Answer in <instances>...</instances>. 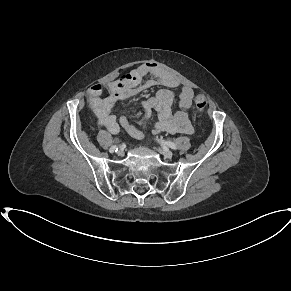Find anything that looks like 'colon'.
I'll use <instances>...</instances> for the list:
<instances>
[{"mask_svg":"<svg viewBox=\"0 0 291 291\" xmlns=\"http://www.w3.org/2000/svg\"><path fill=\"white\" fill-rule=\"evenodd\" d=\"M193 101H194L195 108L199 112H203L205 110V108L207 107V99L205 98L204 95H202L200 93H196L193 96Z\"/></svg>","mask_w":291,"mask_h":291,"instance_id":"obj_1","label":"colon"}]
</instances>
